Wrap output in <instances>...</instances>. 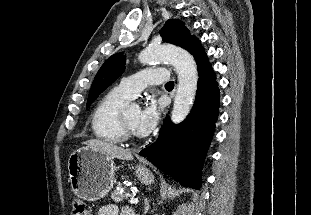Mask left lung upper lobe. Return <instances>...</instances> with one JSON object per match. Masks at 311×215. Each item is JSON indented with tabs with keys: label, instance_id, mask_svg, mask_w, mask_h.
Masks as SVG:
<instances>
[{
	"label": "left lung upper lobe",
	"instance_id": "obj_1",
	"mask_svg": "<svg viewBox=\"0 0 311 215\" xmlns=\"http://www.w3.org/2000/svg\"><path fill=\"white\" fill-rule=\"evenodd\" d=\"M163 41L188 49L196 39L190 36L184 23L177 19H169L160 31ZM125 69V56L123 53L111 56L99 69L89 92L87 106H90L98 95L111 85Z\"/></svg>",
	"mask_w": 311,
	"mask_h": 215
}]
</instances>
